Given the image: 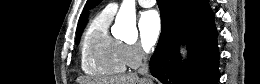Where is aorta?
Here are the masks:
<instances>
[{
  "label": "aorta",
  "instance_id": "aorta-1",
  "mask_svg": "<svg viewBox=\"0 0 260 84\" xmlns=\"http://www.w3.org/2000/svg\"><path fill=\"white\" fill-rule=\"evenodd\" d=\"M116 35L124 41H135L138 36L136 28V10L134 0H123L115 19Z\"/></svg>",
  "mask_w": 260,
  "mask_h": 84
}]
</instances>
